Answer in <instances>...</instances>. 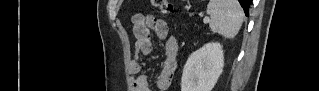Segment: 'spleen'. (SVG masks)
<instances>
[{"instance_id": "3e777b00", "label": "spleen", "mask_w": 319, "mask_h": 91, "mask_svg": "<svg viewBox=\"0 0 319 91\" xmlns=\"http://www.w3.org/2000/svg\"><path fill=\"white\" fill-rule=\"evenodd\" d=\"M212 32L225 38H234L243 23L244 13L237 0H210L207 5Z\"/></svg>"}]
</instances>
